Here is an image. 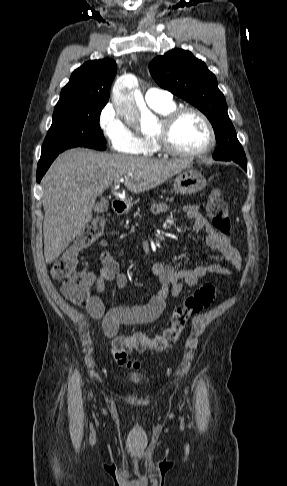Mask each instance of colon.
Wrapping results in <instances>:
<instances>
[{"label": "colon", "mask_w": 287, "mask_h": 486, "mask_svg": "<svg viewBox=\"0 0 287 486\" xmlns=\"http://www.w3.org/2000/svg\"><path fill=\"white\" fill-rule=\"evenodd\" d=\"M207 213L215 231L228 234L231 229L228 206L225 198L218 190H213L207 204ZM104 229V220L97 217L79 234L74 244L64 252L52 265L51 274L56 280L62 281L61 292L65 298L77 305H86L90 298V287L93 276L86 271H77L78 253L95 242ZM216 298V287L204 284L187 295L182 304L171 314L169 324L154 336L144 333L122 335L112 341L111 354L117 364L128 368H138V361L130 358L132 351H161L172 347L183 330L189 318L208 308Z\"/></svg>", "instance_id": "colon-1"}]
</instances>
